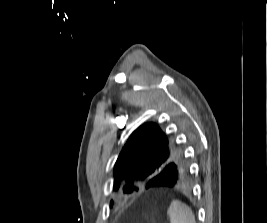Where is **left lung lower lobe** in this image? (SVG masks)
Here are the masks:
<instances>
[{"instance_id": "left-lung-lower-lobe-1", "label": "left lung lower lobe", "mask_w": 267, "mask_h": 223, "mask_svg": "<svg viewBox=\"0 0 267 223\" xmlns=\"http://www.w3.org/2000/svg\"><path fill=\"white\" fill-rule=\"evenodd\" d=\"M193 171H164L153 173V180L141 182L139 190H146V195H175V190L192 189L188 178Z\"/></svg>"}]
</instances>
